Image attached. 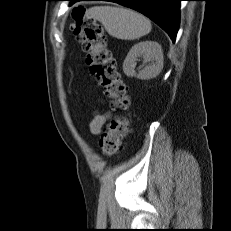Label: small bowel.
Here are the masks:
<instances>
[{
    "instance_id": "c3829d8e",
    "label": "small bowel",
    "mask_w": 231,
    "mask_h": 231,
    "mask_svg": "<svg viewBox=\"0 0 231 231\" xmlns=\"http://www.w3.org/2000/svg\"><path fill=\"white\" fill-rule=\"evenodd\" d=\"M109 116L110 115L108 113L106 114L96 113L89 123L90 132L94 135L101 134L103 127L105 123L107 122Z\"/></svg>"
}]
</instances>
